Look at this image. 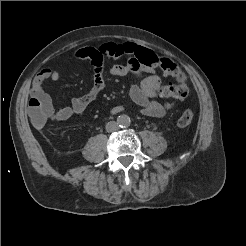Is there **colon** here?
<instances>
[{
	"label": "colon",
	"mask_w": 246,
	"mask_h": 246,
	"mask_svg": "<svg viewBox=\"0 0 246 246\" xmlns=\"http://www.w3.org/2000/svg\"><path fill=\"white\" fill-rule=\"evenodd\" d=\"M134 61L144 67L152 69H161L166 75L176 79V83L162 85L159 94L164 97L184 98L188 94L185 75L178 65L169 58L156 55L153 51L136 47L133 52ZM51 113L50 104L39 97H32L28 102V114L32 123L37 127H42ZM194 118L192 110L187 109L181 113L177 124L180 127H186L191 124Z\"/></svg>",
	"instance_id": "5ec220e1"
}]
</instances>
